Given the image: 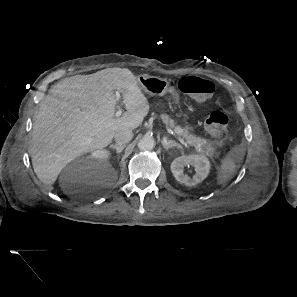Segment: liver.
<instances>
[{"instance_id":"liver-1","label":"liver","mask_w":297,"mask_h":297,"mask_svg":"<svg viewBox=\"0 0 297 297\" xmlns=\"http://www.w3.org/2000/svg\"><path fill=\"white\" fill-rule=\"evenodd\" d=\"M127 112L116 117L114 92ZM33 123L30 154L38 179L53 189L62 169L75 158L108 146L118 131L136 129L150 105L126 68H107L65 78L50 89Z\"/></svg>"}]
</instances>
